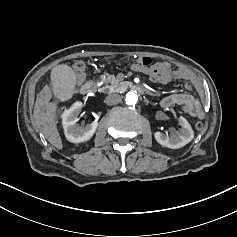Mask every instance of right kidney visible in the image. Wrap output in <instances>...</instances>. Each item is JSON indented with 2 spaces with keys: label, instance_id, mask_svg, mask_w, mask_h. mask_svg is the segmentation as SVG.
<instances>
[{
  "label": "right kidney",
  "instance_id": "obj_1",
  "mask_svg": "<svg viewBox=\"0 0 237 237\" xmlns=\"http://www.w3.org/2000/svg\"><path fill=\"white\" fill-rule=\"evenodd\" d=\"M82 108L83 104L76 102L64 117V133L67 141L70 143H83L90 140L98 127L97 121H92L85 128L77 123Z\"/></svg>",
  "mask_w": 237,
  "mask_h": 237
}]
</instances>
